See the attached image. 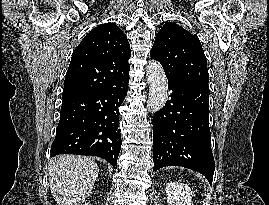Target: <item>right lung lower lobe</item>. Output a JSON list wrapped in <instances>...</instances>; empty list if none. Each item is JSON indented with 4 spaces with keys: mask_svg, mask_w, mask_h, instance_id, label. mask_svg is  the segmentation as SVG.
Returning a JSON list of instances; mask_svg holds the SVG:
<instances>
[{
    "mask_svg": "<svg viewBox=\"0 0 269 205\" xmlns=\"http://www.w3.org/2000/svg\"><path fill=\"white\" fill-rule=\"evenodd\" d=\"M128 82L129 72L116 87L63 99L50 156H98L117 168L121 149L119 107L127 94Z\"/></svg>",
    "mask_w": 269,
    "mask_h": 205,
    "instance_id": "right-lung-lower-lobe-1",
    "label": "right lung lower lobe"
}]
</instances>
